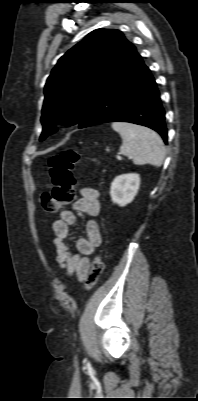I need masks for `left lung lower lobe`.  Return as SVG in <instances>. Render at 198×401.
Here are the masks:
<instances>
[{"label":"left lung lower lobe","mask_w":198,"mask_h":401,"mask_svg":"<svg viewBox=\"0 0 198 401\" xmlns=\"http://www.w3.org/2000/svg\"><path fill=\"white\" fill-rule=\"evenodd\" d=\"M165 112L148 67L136 49L122 62L78 122L85 128L107 122H130L157 131L167 143Z\"/></svg>","instance_id":"left-lung-lower-lobe-1"}]
</instances>
